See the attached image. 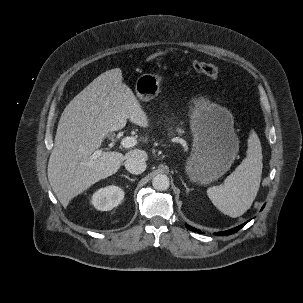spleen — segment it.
I'll use <instances>...</instances> for the list:
<instances>
[{
	"mask_svg": "<svg viewBox=\"0 0 303 303\" xmlns=\"http://www.w3.org/2000/svg\"><path fill=\"white\" fill-rule=\"evenodd\" d=\"M246 153V158L222 186L207 189L212 203L232 218L241 216L251 207L260 187L263 155L259 137L253 130L248 138Z\"/></svg>",
	"mask_w": 303,
	"mask_h": 303,
	"instance_id": "3e777b00",
	"label": "spleen"
}]
</instances>
